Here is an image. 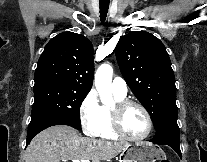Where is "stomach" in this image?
<instances>
[{
	"mask_svg": "<svg viewBox=\"0 0 207 162\" xmlns=\"http://www.w3.org/2000/svg\"><path fill=\"white\" fill-rule=\"evenodd\" d=\"M165 158L164 151L149 142L130 144L121 153V162H155Z\"/></svg>",
	"mask_w": 207,
	"mask_h": 162,
	"instance_id": "1",
	"label": "stomach"
}]
</instances>
